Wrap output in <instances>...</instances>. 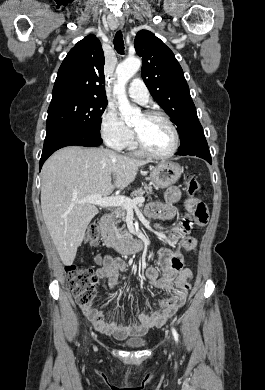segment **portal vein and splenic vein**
<instances>
[{
    "mask_svg": "<svg viewBox=\"0 0 265 390\" xmlns=\"http://www.w3.org/2000/svg\"><path fill=\"white\" fill-rule=\"evenodd\" d=\"M145 201L144 197H136L130 199L125 196H109L102 197L100 195H92L85 197L80 200H75L74 203H90L101 207H123L125 209H133L138 204H141Z\"/></svg>",
    "mask_w": 265,
    "mask_h": 390,
    "instance_id": "obj_1",
    "label": "portal vein and splenic vein"
}]
</instances>
